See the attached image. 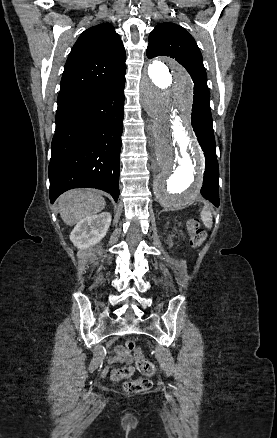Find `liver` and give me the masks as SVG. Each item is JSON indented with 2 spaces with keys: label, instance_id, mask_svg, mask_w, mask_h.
Returning a JSON list of instances; mask_svg holds the SVG:
<instances>
[{
  "label": "liver",
  "instance_id": "6515ba94",
  "mask_svg": "<svg viewBox=\"0 0 277 438\" xmlns=\"http://www.w3.org/2000/svg\"><path fill=\"white\" fill-rule=\"evenodd\" d=\"M60 216L66 226H74L86 216L102 212L106 202L96 190H70L58 198Z\"/></svg>",
  "mask_w": 277,
  "mask_h": 438
}]
</instances>
